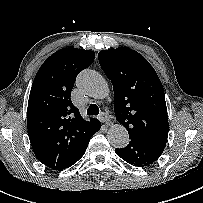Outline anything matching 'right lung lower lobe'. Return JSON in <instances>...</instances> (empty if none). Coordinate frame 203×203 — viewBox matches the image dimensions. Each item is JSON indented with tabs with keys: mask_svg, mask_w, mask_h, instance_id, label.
<instances>
[{
	"mask_svg": "<svg viewBox=\"0 0 203 203\" xmlns=\"http://www.w3.org/2000/svg\"><path fill=\"white\" fill-rule=\"evenodd\" d=\"M100 127H101V123L99 122V123H98V126H97V128H96V130H95V133L100 129ZM89 140H90V139H89ZM89 140H88L87 143L83 146L82 150L79 152V154L76 156V158L74 159V161L72 162V164H71L70 166H72L73 164H75V163L84 155V153H85V151H86V148H87V146H88ZM70 166H69V167H70Z\"/></svg>",
	"mask_w": 203,
	"mask_h": 203,
	"instance_id": "98d812e1",
	"label": "right lung lower lobe"
}]
</instances>
